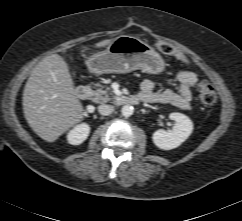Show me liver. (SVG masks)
I'll list each match as a JSON object with an SVG mask.
<instances>
[{
    "label": "liver",
    "instance_id": "liver-1",
    "mask_svg": "<svg viewBox=\"0 0 242 221\" xmlns=\"http://www.w3.org/2000/svg\"><path fill=\"white\" fill-rule=\"evenodd\" d=\"M113 40L100 41L94 47H105ZM23 111L32 130L47 142L56 141L82 119L83 106L60 55L45 57L32 70L23 92Z\"/></svg>",
    "mask_w": 242,
    "mask_h": 221
}]
</instances>
